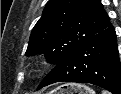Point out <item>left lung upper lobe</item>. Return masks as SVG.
I'll return each mask as SVG.
<instances>
[{"instance_id":"left-lung-upper-lobe-1","label":"left lung upper lobe","mask_w":121,"mask_h":94,"mask_svg":"<svg viewBox=\"0 0 121 94\" xmlns=\"http://www.w3.org/2000/svg\"><path fill=\"white\" fill-rule=\"evenodd\" d=\"M110 25L100 0H49L31 32L26 55L44 54L58 64Z\"/></svg>"}]
</instances>
